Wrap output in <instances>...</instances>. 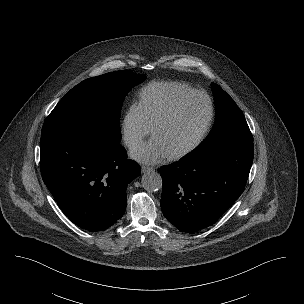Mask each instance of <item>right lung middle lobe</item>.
<instances>
[{
  "mask_svg": "<svg viewBox=\"0 0 304 304\" xmlns=\"http://www.w3.org/2000/svg\"><path fill=\"white\" fill-rule=\"evenodd\" d=\"M146 79L128 70L89 78L72 88L46 118L42 136L69 130L98 134L120 144V112L127 93Z\"/></svg>",
  "mask_w": 304,
  "mask_h": 304,
  "instance_id": "dd1d6c3e",
  "label": "right lung middle lobe"
}]
</instances>
